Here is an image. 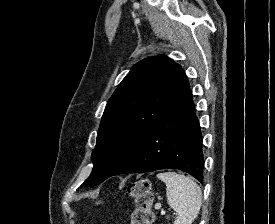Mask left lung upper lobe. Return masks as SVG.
I'll list each match as a JSON object with an SVG mask.
<instances>
[{"label":"left lung upper lobe","instance_id":"5c2ea615","mask_svg":"<svg viewBox=\"0 0 275 224\" xmlns=\"http://www.w3.org/2000/svg\"><path fill=\"white\" fill-rule=\"evenodd\" d=\"M189 89L181 66L166 56L135 64L107 102L91 156L94 167L81 187L126 173L147 138Z\"/></svg>","mask_w":275,"mask_h":224}]
</instances>
